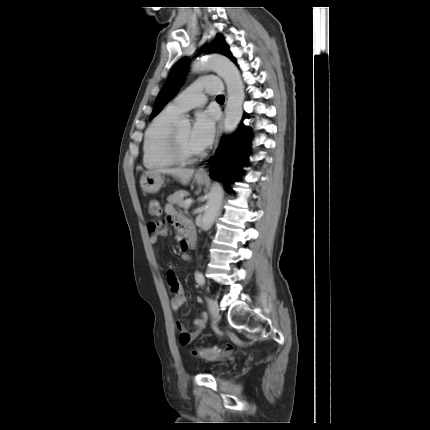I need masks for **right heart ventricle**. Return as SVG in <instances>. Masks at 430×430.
<instances>
[{
	"label": "right heart ventricle",
	"instance_id": "right-heart-ventricle-1",
	"mask_svg": "<svg viewBox=\"0 0 430 430\" xmlns=\"http://www.w3.org/2000/svg\"><path fill=\"white\" fill-rule=\"evenodd\" d=\"M180 115L165 109L147 127L142 146L143 165L148 169H164L174 166L167 150L170 132L176 126Z\"/></svg>",
	"mask_w": 430,
	"mask_h": 430
}]
</instances>
